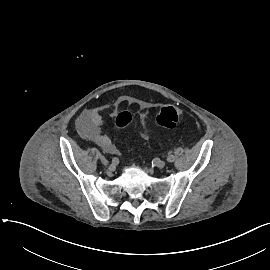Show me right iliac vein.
<instances>
[{
    "mask_svg": "<svg viewBox=\"0 0 270 270\" xmlns=\"http://www.w3.org/2000/svg\"><path fill=\"white\" fill-rule=\"evenodd\" d=\"M100 161L105 166H107L109 164L108 160L104 156L100 157Z\"/></svg>",
    "mask_w": 270,
    "mask_h": 270,
    "instance_id": "right-iliac-vein-1",
    "label": "right iliac vein"
}]
</instances>
